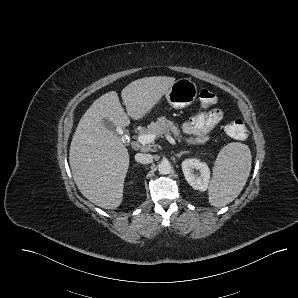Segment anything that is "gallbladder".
I'll return each mask as SVG.
<instances>
[{
  "label": "gallbladder",
  "instance_id": "gallbladder-1",
  "mask_svg": "<svg viewBox=\"0 0 298 298\" xmlns=\"http://www.w3.org/2000/svg\"><path fill=\"white\" fill-rule=\"evenodd\" d=\"M101 124L109 130L115 129V124L112 121H110L107 117L102 118Z\"/></svg>",
  "mask_w": 298,
  "mask_h": 298
}]
</instances>
